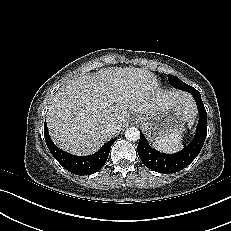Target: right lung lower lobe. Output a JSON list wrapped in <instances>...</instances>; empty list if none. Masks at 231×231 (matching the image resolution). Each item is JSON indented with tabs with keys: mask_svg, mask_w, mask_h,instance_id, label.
<instances>
[{
	"mask_svg": "<svg viewBox=\"0 0 231 231\" xmlns=\"http://www.w3.org/2000/svg\"><path fill=\"white\" fill-rule=\"evenodd\" d=\"M46 145L54 158L68 171L76 175H90L99 171L108 159L112 144L116 138L107 142L98 152L89 156H75L56 147L52 142L47 124H44Z\"/></svg>",
	"mask_w": 231,
	"mask_h": 231,
	"instance_id": "obj_1",
	"label": "right lung lower lobe"
}]
</instances>
